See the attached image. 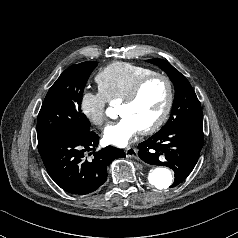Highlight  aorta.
Here are the masks:
<instances>
[{
    "mask_svg": "<svg viewBox=\"0 0 238 238\" xmlns=\"http://www.w3.org/2000/svg\"><path fill=\"white\" fill-rule=\"evenodd\" d=\"M106 113L110 116V109H108ZM148 180L153 187L159 190H165L171 186L173 182V174L167 168L155 167L150 170Z\"/></svg>",
    "mask_w": 238,
    "mask_h": 238,
    "instance_id": "obj_1",
    "label": "aorta"
}]
</instances>
